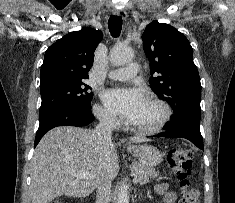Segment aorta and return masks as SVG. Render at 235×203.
Returning a JSON list of instances; mask_svg holds the SVG:
<instances>
[{"instance_id": "1", "label": "aorta", "mask_w": 235, "mask_h": 203, "mask_svg": "<svg viewBox=\"0 0 235 203\" xmlns=\"http://www.w3.org/2000/svg\"><path fill=\"white\" fill-rule=\"evenodd\" d=\"M133 50L122 43L116 44L110 51V61L114 66L125 65L132 61ZM117 203H129V193L126 188H122L118 193Z\"/></svg>"}]
</instances>
